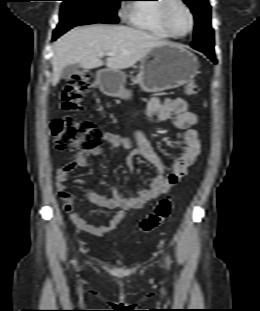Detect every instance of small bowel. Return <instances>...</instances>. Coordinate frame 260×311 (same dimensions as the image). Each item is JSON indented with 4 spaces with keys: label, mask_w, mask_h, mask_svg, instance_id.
<instances>
[{
    "label": "small bowel",
    "mask_w": 260,
    "mask_h": 311,
    "mask_svg": "<svg viewBox=\"0 0 260 311\" xmlns=\"http://www.w3.org/2000/svg\"><path fill=\"white\" fill-rule=\"evenodd\" d=\"M146 116L148 121L154 124L162 123L172 118L174 126L184 130V146L178 153L172 168L168 169L150 146L142 130H136L133 133L132 140H127L113 132L107 131L102 133L103 142L111 148L122 147L132 149V156L127 161L130 170L133 169L134 158L142 157L158 171V174L152 178L149 187L141 189L137 196L133 198L124 197L116 187L111 188V196L98 194L93 191L88 192L89 198L97 205L110 209H120L111 220L93 223L75 211L74 199L72 194L67 191L66 183L74 170L88 166L84 159L77 157L58 168L55 176L58 195L63 201L64 211L68 214L72 223L80 230L92 234H101L115 230L124 220L127 210L142 208L146 203L167 193L176 185L187 174L188 168L201 153L198 132L194 128L198 122V116L188 109V104L184 99L161 100L158 97H152L147 103ZM91 154L100 156L102 150L97 147L92 150ZM77 182L83 183L82 180Z\"/></svg>",
    "instance_id": "obj_1"
}]
</instances>
